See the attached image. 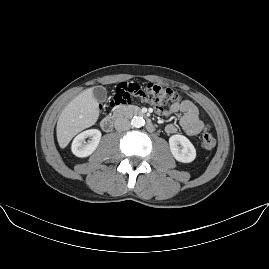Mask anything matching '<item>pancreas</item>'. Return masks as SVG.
Listing matches in <instances>:
<instances>
[{"label":"pancreas","instance_id":"pancreas-1","mask_svg":"<svg viewBox=\"0 0 269 269\" xmlns=\"http://www.w3.org/2000/svg\"><path fill=\"white\" fill-rule=\"evenodd\" d=\"M139 110H140V108L137 106H134V105L125 106L123 109V111H126V112H137Z\"/></svg>","mask_w":269,"mask_h":269}]
</instances>
